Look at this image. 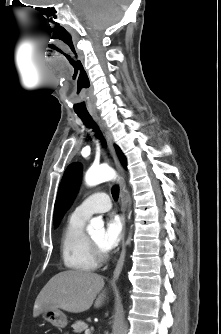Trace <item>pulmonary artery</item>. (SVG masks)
<instances>
[{
    "instance_id": "1",
    "label": "pulmonary artery",
    "mask_w": 221,
    "mask_h": 334,
    "mask_svg": "<svg viewBox=\"0 0 221 334\" xmlns=\"http://www.w3.org/2000/svg\"><path fill=\"white\" fill-rule=\"evenodd\" d=\"M108 194L102 191L95 192L84 199L73 211L77 217L88 219L95 213L106 212L111 208Z\"/></svg>"
}]
</instances>
